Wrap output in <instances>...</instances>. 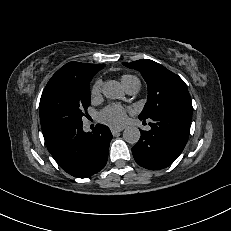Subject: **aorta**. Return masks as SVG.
I'll return each instance as SVG.
<instances>
[{"label":"aorta","mask_w":231,"mask_h":231,"mask_svg":"<svg viewBox=\"0 0 231 231\" xmlns=\"http://www.w3.org/2000/svg\"><path fill=\"white\" fill-rule=\"evenodd\" d=\"M103 94L109 99H121L124 96V92L119 82L115 80L107 81L103 86ZM140 131L135 126H129L125 128L123 132V138L126 142L135 144L140 139Z\"/></svg>","instance_id":"obj_1"}]
</instances>
